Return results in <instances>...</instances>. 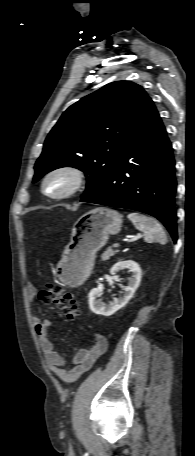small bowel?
Returning <instances> with one entry per match:
<instances>
[{"instance_id":"small-bowel-1","label":"small bowel","mask_w":195,"mask_h":456,"mask_svg":"<svg viewBox=\"0 0 195 456\" xmlns=\"http://www.w3.org/2000/svg\"><path fill=\"white\" fill-rule=\"evenodd\" d=\"M27 295L30 301H33L36 296V288L32 284L27 287ZM33 323L48 367L64 383L70 384L77 381L107 350L106 338L97 333L90 347L78 350L71 361V366L67 367L65 359L55 350L48 336L51 319L41 320L34 317Z\"/></svg>"}]
</instances>
